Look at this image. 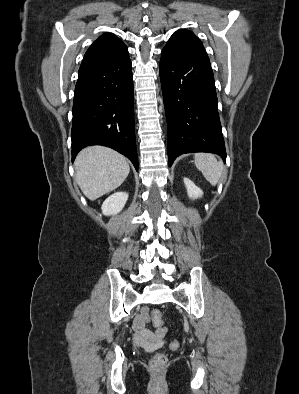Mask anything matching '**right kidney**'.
Listing matches in <instances>:
<instances>
[{
  "label": "right kidney",
  "mask_w": 299,
  "mask_h": 394,
  "mask_svg": "<svg viewBox=\"0 0 299 394\" xmlns=\"http://www.w3.org/2000/svg\"><path fill=\"white\" fill-rule=\"evenodd\" d=\"M128 199L126 192H116L109 196L102 204V212L106 216L119 213L125 206Z\"/></svg>",
  "instance_id": "right-kidney-1"
}]
</instances>
